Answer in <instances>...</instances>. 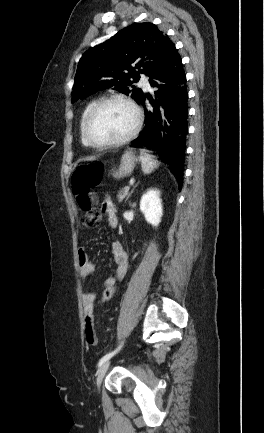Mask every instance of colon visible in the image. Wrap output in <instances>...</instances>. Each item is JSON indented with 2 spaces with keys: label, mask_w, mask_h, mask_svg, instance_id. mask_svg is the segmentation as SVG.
<instances>
[{
  "label": "colon",
  "mask_w": 264,
  "mask_h": 433,
  "mask_svg": "<svg viewBox=\"0 0 264 433\" xmlns=\"http://www.w3.org/2000/svg\"><path fill=\"white\" fill-rule=\"evenodd\" d=\"M103 165L92 162L80 165L72 175V191L79 207L84 211L81 224L85 228L96 227L102 219L101 212L95 207L96 199L92 189L99 186L103 179ZM117 292L115 284L106 286L101 296V304L110 302Z\"/></svg>",
  "instance_id": "5ec220e1"
}]
</instances>
